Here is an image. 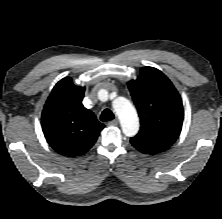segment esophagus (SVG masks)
I'll list each match as a JSON object with an SVG mask.
<instances>
[{
	"label": "esophagus",
	"instance_id": "esophagus-1",
	"mask_svg": "<svg viewBox=\"0 0 222 219\" xmlns=\"http://www.w3.org/2000/svg\"><path fill=\"white\" fill-rule=\"evenodd\" d=\"M109 126H117L118 125V120L115 119V120H112L108 123Z\"/></svg>",
	"mask_w": 222,
	"mask_h": 219
}]
</instances>
